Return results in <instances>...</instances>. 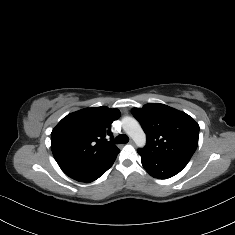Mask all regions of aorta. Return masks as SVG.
<instances>
[{
  "instance_id": "obj_1",
  "label": "aorta",
  "mask_w": 235,
  "mask_h": 235,
  "mask_svg": "<svg viewBox=\"0 0 235 235\" xmlns=\"http://www.w3.org/2000/svg\"><path fill=\"white\" fill-rule=\"evenodd\" d=\"M123 129L138 146L145 144V133L135 119L130 117L125 118L123 120Z\"/></svg>"
}]
</instances>
